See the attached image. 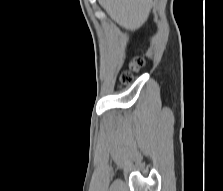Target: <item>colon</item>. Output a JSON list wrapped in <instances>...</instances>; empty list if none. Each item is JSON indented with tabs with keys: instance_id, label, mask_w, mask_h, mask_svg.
<instances>
[{
	"instance_id": "5ec220e1",
	"label": "colon",
	"mask_w": 223,
	"mask_h": 191,
	"mask_svg": "<svg viewBox=\"0 0 223 191\" xmlns=\"http://www.w3.org/2000/svg\"><path fill=\"white\" fill-rule=\"evenodd\" d=\"M144 65V61L140 58L132 60L129 68L123 71L119 76V87L129 86L133 82V73L139 71Z\"/></svg>"
}]
</instances>
